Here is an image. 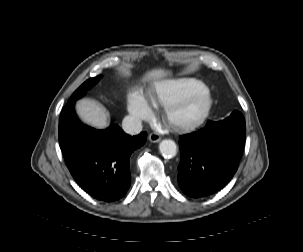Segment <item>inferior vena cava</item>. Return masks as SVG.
Returning a JSON list of instances; mask_svg holds the SVG:
<instances>
[{"label": "inferior vena cava", "instance_id": "obj_1", "mask_svg": "<svg viewBox=\"0 0 303 252\" xmlns=\"http://www.w3.org/2000/svg\"><path fill=\"white\" fill-rule=\"evenodd\" d=\"M122 128L127 134L136 135L142 131V122L132 116H126L122 121Z\"/></svg>", "mask_w": 303, "mask_h": 252}]
</instances>
